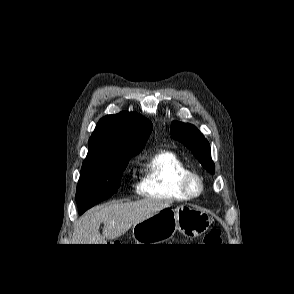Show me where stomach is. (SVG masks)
Wrapping results in <instances>:
<instances>
[{"mask_svg": "<svg viewBox=\"0 0 294 294\" xmlns=\"http://www.w3.org/2000/svg\"><path fill=\"white\" fill-rule=\"evenodd\" d=\"M211 225L209 215L185 205L164 208L133 226L136 244H161L172 238L176 231L185 237L196 238Z\"/></svg>", "mask_w": 294, "mask_h": 294, "instance_id": "stomach-1", "label": "stomach"}]
</instances>
